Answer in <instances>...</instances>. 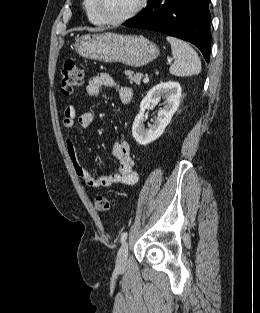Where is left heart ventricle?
Returning <instances> with one entry per match:
<instances>
[{
	"label": "left heart ventricle",
	"instance_id": "b2bd125f",
	"mask_svg": "<svg viewBox=\"0 0 260 313\" xmlns=\"http://www.w3.org/2000/svg\"><path fill=\"white\" fill-rule=\"evenodd\" d=\"M137 0H100V7L105 16L119 18L126 15Z\"/></svg>",
	"mask_w": 260,
	"mask_h": 313
}]
</instances>
